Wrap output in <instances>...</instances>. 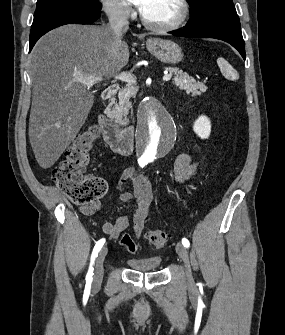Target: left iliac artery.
Segmentation results:
<instances>
[{
  "label": "left iliac artery",
  "instance_id": "obj_1",
  "mask_svg": "<svg viewBox=\"0 0 285 335\" xmlns=\"http://www.w3.org/2000/svg\"><path fill=\"white\" fill-rule=\"evenodd\" d=\"M182 244H183L186 248H188V247L190 246V243H189V241H188L186 238H183V239H182Z\"/></svg>",
  "mask_w": 285,
  "mask_h": 335
}]
</instances>
